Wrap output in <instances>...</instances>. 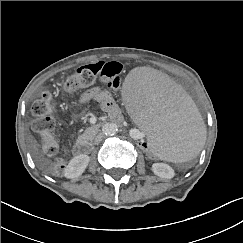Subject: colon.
I'll return each instance as SVG.
<instances>
[{
  "label": "colon",
  "mask_w": 243,
  "mask_h": 243,
  "mask_svg": "<svg viewBox=\"0 0 243 243\" xmlns=\"http://www.w3.org/2000/svg\"><path fill=\"white\" fill-rule=\"evenodd\" d=\"M122 70L123 66L119 62H97L83 65L77 68L74 74L66 79L64 89L68 94H72L81 88L92 85L97 80L107 84L110 88L117 89L122 81ZM56 109L57 104L53 96L49 92H45L34 102L31 111L34 116L33 128L43 138V150L51 158L53 170L56 173H60L64 168V161L58 156L59 145L52 136L55 123L51 114ZM135 147L143 150L145 158L149 163L162 164V157L151 148L147 141H136Z\"/></svg>",
  "instance_id": "1"
}]
</instances>
